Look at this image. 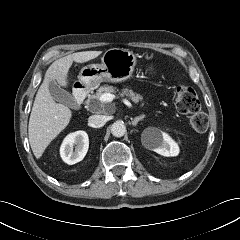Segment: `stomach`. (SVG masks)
<instances>
[{
  "label": "stomach",
  "instance_id": "1",
  "mask_svg": "<svg viewBox=\"0 0 240 240\" xmlns=\"http://www.w3.org/2000/svg\"><path fill=\"white\" fill-rule=\"evenodd\" d=\"M136 62V55L132 51L108 49L101 58V64H90L81 69L78 82L86 89L93 90L102 82L124 81L132 76Z\"/></svg>",
  "mask_w": 240,
  "mask_h": 240
}]
</instances>
